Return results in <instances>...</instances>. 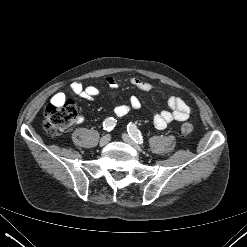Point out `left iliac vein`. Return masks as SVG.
I'll use <instances>...</instances> for the list:
<instances>
[{"label": "left iliac vein", "mask_w": 247, "mask_h": 247, "mask_svg": "<svg viewBox=\"0 0 247 247\" xmlns=\"http://www.w3.org/2000/svg\"><path fill=\"white\" fill-rule=\"evenodd\" d=\"M122 138L126 143L131 145L136 151L138 152L142 151V148L128 134H123Z\"/></svg>", "instance_id": "1"}]
</instances>
